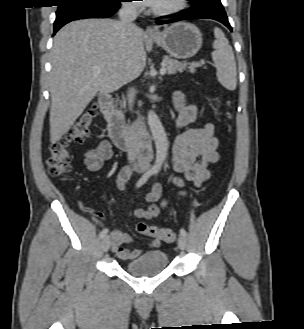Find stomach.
Here are the masks:
<instances>
[{
  "instance_id": "1",
  "label": "stomach",
  "mask_w": 304,
  "mask_h": 329,
  "mask_svg": "<svg viewBox=\"0 0 304 329\" xmlns=\"http://www.w3.org/2000/svg\"><path fill=\"white\" fill-rule=\"evenodd\" d=\"M152 40L177 59L193 57L202 46V33L193 24L177 22L158 32Z\"/></svg>"
}]
</instances>
